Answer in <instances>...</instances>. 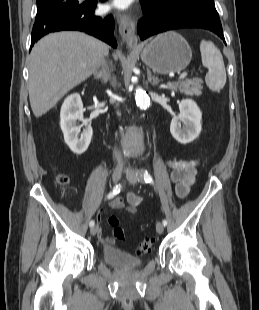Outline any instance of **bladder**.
Here are the masks:
<instances>
[{
  "label": "bladder",
  "instance_id": "bladder-1",
  "mask_svg": "<svg viewBox=\"0 0 259 310\" xmlns=\"http://www.w3.org/2000/svg\"><path fill=\"white\" fill-rule=\"evenodd\" d=\"M102 259L106 264L118 269H135L143 264L141 258L115 246L104 247Z\"/></svg>",
  "mask_w": 259,
  "mask_h": 310
}]
</instances>
